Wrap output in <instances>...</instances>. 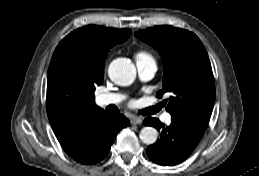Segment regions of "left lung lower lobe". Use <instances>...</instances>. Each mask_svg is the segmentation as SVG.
Segmentation results:
<instances>
[{"mask_svg": "<svg viewBox=\"0 0 259 176\" xmlns=\"http://www.w3.org/2000/svg\"><path fill=\"white\" fill-rule=\"evenodd\" d=\"M143 123L153 126L160 132V139L148 146L147 155L159 165H176L184 161L199 144L206 128L196 124L172 118L165 126L156 118H146Z\"/></svg>", "mask_w": 259, "mask_h": 176, "instance_id": "obj_1", "label": "left lung lower lobe"}]
</instances>
